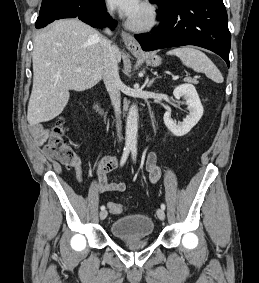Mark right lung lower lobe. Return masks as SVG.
<instances>
[{"label": "right lung lower lobe", "mask_w": 259, "mask_h": 283, "mask_svg": "<svg viewBox=\"0 0 259 283\" xmlns=\"http://www.w3.org/2000/svg\"><path fill=\"white\" fill-rule=\"evenodd\" d=\"M78 17L92 27L116 26L106 12L104 0H42L35 27L42 28L57 19Z\"/></svg>", "instance_id": "98d812e1"}]
</instances>
